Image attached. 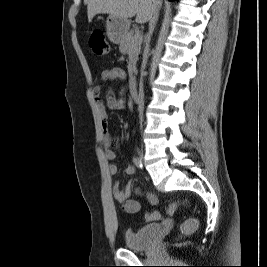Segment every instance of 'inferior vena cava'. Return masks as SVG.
<instances>
[{
	"instance_id": "inferior-vena-cava-1",
	"label": "inferior vena cava",
	"mask_w": 267,
	"mask_h": 267,
	"mask_svg": "<svg viewBox=\"0 0 267 267\" xmlns=\"http://www.w3.org/2000/svg\"><path fill=\"white\" fill-rule=\"evenodd\" d=\"M153 3L156 5L155 10L153 12V15L151 17V19L149 20V33H148V37H147V43H146V51H145V56H144V62H143V67H145L146 64V59H147V53L149 50V42L151 39V36L153 34L155 25L157 23L158 20V16H159V9L161 6V1L160 0H153ZM144 92H143V82H142V78L140 81V89H139V98H138V110L140 113V116L142 115L143 112V106H144Z\"/></svg>"
}]
</instances>
